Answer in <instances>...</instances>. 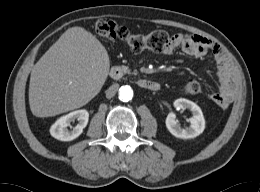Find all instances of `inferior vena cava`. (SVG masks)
<instances>
[{"label": "inferior vena cava", "mask_w": 260, "mask_h": 192, "mask_svg": "<svg viewBox=\"0 0 260 192\" xmlns=\"http://www.w3.org/2000/svg\"><path fill=\"white\" fill-rule=\"evenodd\" d=\"M116 91H117V87H116L115 85L109 87V88L106 90V97H107L108 99H111L112 97L115 96Z\"/></svg>", "instance_id": "obj_1"}]
</instances>
